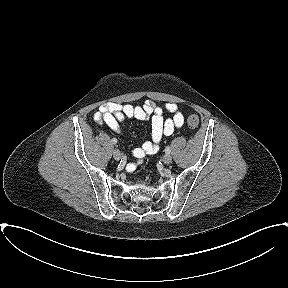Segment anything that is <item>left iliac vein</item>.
Instances as JSON below:
<instances>
[{"instance_id": "1", "label": "left iliac vein", "mask_w": 288, "mask_h": 288, "mask_svg": "<svg viewBox=\"0 0 288 288\" xmlns=\"http://www.w3.org/2000/svg\"><path fill=\"white\" fill-rule=\"evenodd\" d=\"M163 161L166 165L170 164L172 161V157L170 154H165L163 157Z\"/></svg>"}]
</instances>
